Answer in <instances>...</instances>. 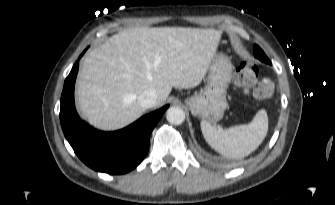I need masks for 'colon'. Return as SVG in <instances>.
<instances>
[{"label":"colon","instance_id":"obj_1","mask_svg":"<svg viewBox=\"0 0 335 205\" xmlns=\"http://www.w3.org/2000/svg\"><path fill=\"white\" fill-rule=\"evenodd\" d=\"M234 82L241 87L245 93H251L259 99L272 98L275 92L274 83L270 79L258 81L257 67L250 62L239 65L234 74Z\"/></svg>","mask_w":335,"mask_h":205}]
</instances>
